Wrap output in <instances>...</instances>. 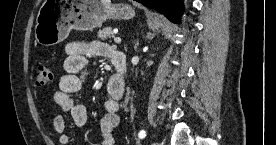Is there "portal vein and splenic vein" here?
Wrapping results in <instances>:
<instances>
[{
	"label": "portal vein and splenic vein",
	"instance_id": "portal-vein-and-splenic-vein-1",
	"mask_svg": "<svg viewBox=\"0 0 276 145\" xmlns=\"http://www.w3.org/2000/svg\"><path fill=\"white\" fill-rule=\"evenodd\" d=\"M114 42H115L116 44H120V43H121V38L115 37V38H114Z\"/></svg>",
	"mask_w": 276,
	"mask_h": 145
}]
</instances>
